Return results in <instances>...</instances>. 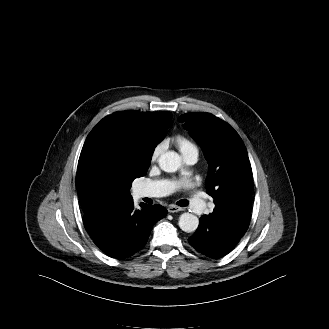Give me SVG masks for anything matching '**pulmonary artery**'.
I'll list each match as a JSON object with an SVG mask.
<instances>
[{
    "instance_id": "obj_1",
    "label": "pulmonary artery",
    "mask_w": 329,
    "mask_h": 329,
    "mask_svg": "<svg viewBox=\"0 0 329 329\" xmlns=\"http://www.w3.org/2000/svg\"><path fill=\"white\" fill-rule=\"evenodd\" d=\"M184 159L188 164H194L198 159V149L194 148L184 156ZM176 187V183L168 180L150 181L140 184L137 188L136 194L139 198H157L171 194ZM188 203L190 209L194 212H201L205 208L204 202L199 197L190 198Z\"/></svg>"
}]
</instances>
